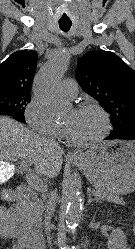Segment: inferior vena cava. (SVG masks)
<instances>
[{
	"label": "inferior vena cava",
	"mask_w": 135,
	"mask_h": 249,
	"mask_svg": "<svg viewBox=\"0 0 135 249\" xmlns=\"http://www.w3.org/2000/svg\"><path fill=\"white\" fill-rule=\"evenodd\" d=\"M51 142L55 146H58V143H56L54 140H51ZM55 196H56V193L55 192L52 193L51 197L47 201V205H46V212H45V232H46L47 235L50 234V229H51L50 220H51V215H52V213L54 211Z\"/></svg>",
	"instance_id": "obj_1"
}]
</instances>
